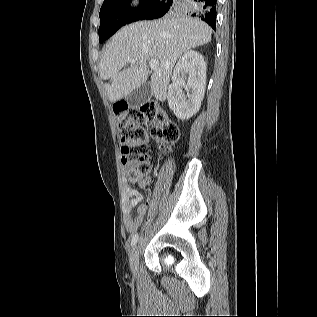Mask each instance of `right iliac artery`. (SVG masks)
<instances>
[{
  "mask_svg": "<svg viewBox=\"0 0 317 317\" xmlns=\"http://www.w3.org/2000/svg\"><path fill=\"white\" fill-rule=\"evenodd\" d=\"M138 241V234H135L131 240V246H134Z\"/></svg>",
  "mask_w": 317,
  "mask_h": 317,
  "instance_id": "82829eb1",
  "label": "right iliac artery"
}]
</instances>
